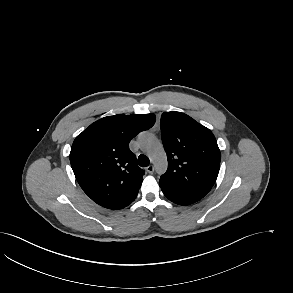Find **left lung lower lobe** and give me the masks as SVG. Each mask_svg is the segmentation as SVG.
<instances>
[{
	"instance_id": "1",
	"label": "left lung lower lobe",
	"mask_w": 293,
	"mask_h": 293,
	"mask_svg": "<svg viewBox=\"0 0 293 293\" xmlns=\"http://www.w3.org/2000/svg\"><path fill=\"white\" fill-rule=\"evenodd\" d=\"M160 187L164 193V195L172 202L179 204V205H189L192 204L203 197L196 196L190 193H184V192H177L173 191L171 189H168L167 187H164L160 184Z\"/></svg>"
}]
</instances>
